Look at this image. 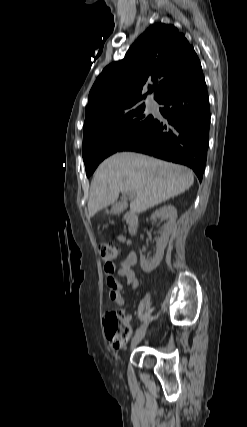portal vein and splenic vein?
<instances>
[{
	"instance_id": "obj_1",
	"label": "portal vein and splenic vein",
	"mask_w": 247,
	"mask_h": 427,
	"mask_svg": "<svg viewBox=\"0 0 247 427\" xmlns=\"http://www.w3.org/2000/svg\"><path fill=\"white\" fill-rule=\"evenodd\" d=\"M129 196L131 197V196H132V194H131V193H129Z\"/></svg>"
}]
</instances>
